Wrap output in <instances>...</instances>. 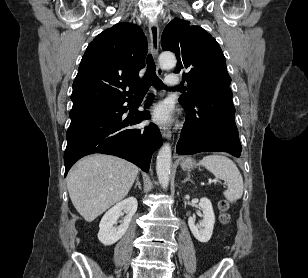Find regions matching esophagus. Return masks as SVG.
Masks as SVG:
<instances>
[{"label": "esophagus", "mask_w": 308, "mask_h": 278, "mask_svg": "<svg viewBox=\"0 0 308 278\" xmlns=\"http://www.w3.org/2000/svg\"><path fill=\"white\" fill-rule=\"evenodd\" d=\"M151 53L154 58L158 55L159 50V27L156 22L149 23ZM157 74L162 75L163 70L158 66ZM160 132L165 139H171V131L167 126H159Z\"/></svg>", "instance_id": "esophagus-1"}]
</instances>
